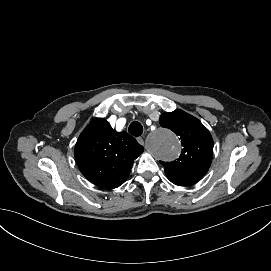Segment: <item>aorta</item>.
Listing matches in <instances>:
<instances>
[{"label": "aorta", "instance_id": "obj_1", "mask_svg": "<svg viewBox=\"0 0 271 271\" xmlns=\"http://www.w3.org/2000/svg\"><path fill=\"white\" fill-rule=\"evenodd\" d=\"M150 151L159 159L174 160L181 151V145L177 136L168 129H159L148 138Z\"/></svg>", "mask_w": 271, "mask_h": 271}]
</instances>
